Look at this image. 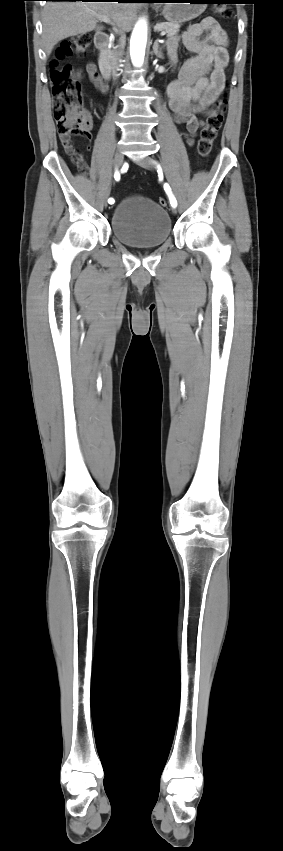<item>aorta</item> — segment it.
Masks as SVG:
<instances>
[{"instance_id":"762f6f07","label":"aorta","mask_w":283,"mask_h":851,"mask_svg":"<svg viewBox=\"0 0 283 851\" xmlns=\"http://www.w3.org/2000/svg\"><path fill=\"white\" fill-rule=\"evenodd\" d=\"M147 43V24L141 19L135 25L130 40V56L134 66H141L144 61Z\"/></svg>"}]
</instances>
